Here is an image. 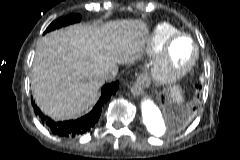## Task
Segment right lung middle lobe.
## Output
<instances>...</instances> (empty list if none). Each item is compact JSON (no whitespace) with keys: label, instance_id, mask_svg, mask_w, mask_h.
Instances as JSON below:
<instances>
[{"label":"right lung middle lobe","instance_id":"1","mask_svg":"<svg viewBox=\"0 0 240 160\" xmlns=\"http://www.w3.org/2000/svg\"><path fill=\"white\" fill-rule=\"evenodd\" d=\"M80 18L79 15H68L66 17H61L59 19H57L56 21H53L48 28L45 30L44 33H47L49 31H52L54 29L60 28L62 26H66L69 25L71 23H75V22H79Z\"/></svg>","mask_w":240,"mask_h":160}]
</instances>
